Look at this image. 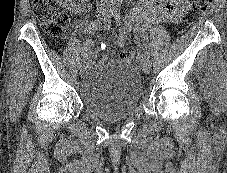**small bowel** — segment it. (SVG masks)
Masks as SVG:
<instances>
[{"label":"small bowel","mask_w":227,"mask_h":173,"mask_svg":"<svg viewBox=\"0 0 227 173\" xmlns=\"http://www.w3.org/2000/svg\"><path fill=\"white\" fill-rule=\"evenodd\" d=\"M142 9H134L127 17V27L132 29L136 37L142 38L151 23H176L179 22L188 8L189 0H142ZM98 23H89L86 26L88 32H95ZM122 44V40H119ZM93 41H85L82 54L84 59L91 64L94 60L92 50ZM142 60L138 55L137 61Z\"/></svg>","instance_id":"c3829d8e"}]
</instances>
